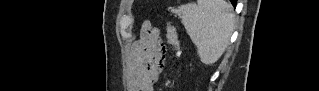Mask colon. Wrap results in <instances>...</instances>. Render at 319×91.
<instances>
[{"label": "colon", "instance_id": "colon-1", "mask_svg": "<svg viewBox=\"0 0 319 91\" xmlns=\"http://www.w3.org/2000/svg\"><path fill=\"white\" fill-rule=\"evenodd\" d=\"M167 39H168V43L174 49V55L177 57L178 56V46H179L178 33L176 31L175 26L172 23H169L167 26ZM152 60H153V55L149 54L145 58V63L147 65H150L152 63Z\"/></svg>", "mask_w": 319, "mask_h": 91}]
</instances>
